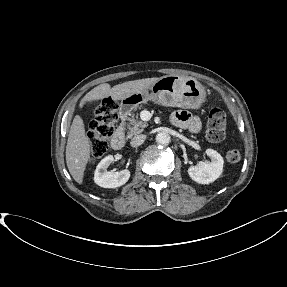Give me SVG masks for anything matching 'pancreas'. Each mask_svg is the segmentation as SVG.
I'll list each match as a JSON object with an SVG mask.
<instances>
[{
    "mask_svg": "<svg viewBox=\"0 0 287 287\" xmlns=\"http://www.w3.org/2000/svg\"><path fill=\"white\" fill-rule=\"evenodd\" d=\"M127 122L124 123V126L128 128L127 137L131 138L132 136L139 134L144 131L148 124L135 116L134 114L131 117L126 119Z\"/></svg>",
    "mask_w": 287,
    "mask_h": 287,
    "instance_id": "obj_1",
    "label": "pancreas"
}]
</instances>
